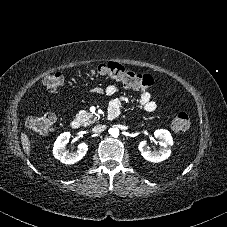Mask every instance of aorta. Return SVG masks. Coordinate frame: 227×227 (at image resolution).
<instances>
[{
  "label": "aorta",
  "instance_id": "762f6f07",
  "mask_svg": "<svg viewBox=\"0 0 227 227\" xmlns=\"http://www.w3.org/2000/svg\"><path fill=\"white\" fill-rule=\"evenodd\" d=\"M110 134L112 137H118L119 136V129L118 128H112L110 130Z\"/></svg>",
  "mask_w": 227,
  "mask_h": 227
}]
</instances>
